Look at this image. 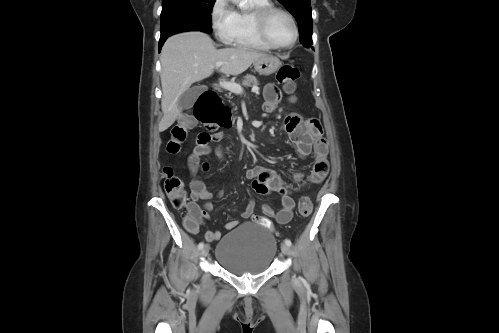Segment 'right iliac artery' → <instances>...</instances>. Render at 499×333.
Listing matches in <instances>:
<instances>
[{
  "label": "right iliac artery",
  "mask_w": 499,
  "mask_h": 333,
  "mask_svg": "<svg viewBox=\"0 0 499 333\" xmlns=\"http://www.w3.org/2000/svg\"><path fill=\"white\" fill-rule=\"evenodd\" d=\"M203 247H204V243L203 242L199 243L198 248L201 250Z\"/></svg>",
  "instance_id": "obj_1"
}]
</instances>
